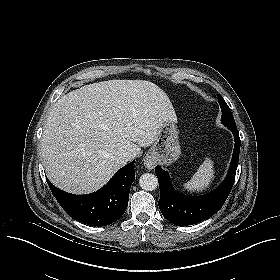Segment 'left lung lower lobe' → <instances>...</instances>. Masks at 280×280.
Masks as SVG:
<instances>
[{"label":"left lung lower lobe","mask_w":280,"mask_h":280,"mask_svg":"<svg viewBox=\"0 0 280 280\" xmlns=\"http://www.w3.org/2000/svg\"><path fill=\"white\" fill-rule=\"evenodd\" d=\"M235 138L234 152L225 180L213 192L199 196H184L174 190L169 175L159 166L155 172L159 180V208L163 216L177 226L193 225L210 218L223 206L235 181L239 161L240 138L237 128H229Z\"/></svg>","instance_id":"obj_1"}]
</instances>
